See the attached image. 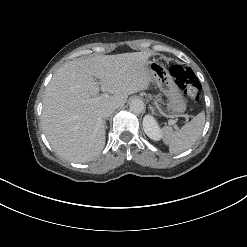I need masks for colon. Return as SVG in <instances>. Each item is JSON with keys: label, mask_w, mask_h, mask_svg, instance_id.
Segmentation results:
<instances>
[{"label": "colon", "mask_w": 247, "mask_h": 247, "mask_svg": "<svg viewBox=\"0 0 247 247\" xmlns=\"http://www.w3.org/2000/svg\"><path fill=\"white\" fill-rule=\"evenodd\" d=\"M170 73L176 84L193 101H197L200 96L201 85L195 73L188 67L173 64Z\"/></svg>", "instance_id": "obj_1"}]
</instances>
